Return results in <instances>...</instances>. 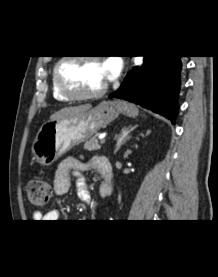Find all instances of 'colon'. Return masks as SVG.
Wrapping results in <instances>:
<instances>
[{
	"mask_svg": "<svg viewBox=\"0 0 218 277\" xmlns=\"http://www.w3.org/2000/svg\"><path fill=\"white\" fill-rule=\"evenodd\" d=\"M28 201L32 206L43 207L45 206L52 194L51 185L41 179H32L26 186Z\"/></svg>",
	"mask_w": 218,
	"mask_h": 277,
	"instance_id": "obj_1",
	"label": "colon"
}]
</instances>
